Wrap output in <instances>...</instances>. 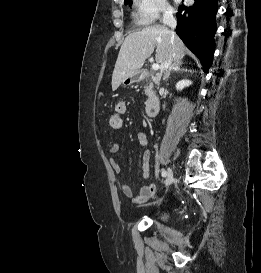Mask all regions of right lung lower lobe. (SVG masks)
Segmentation results:
<instances>
[{"instance_id":"right-lung-lower-lobe-1","label":"right lung lower lobe","mask_w":261,"mask_h":273,"mask_svg":"<svg viewBox=\"0 0 261 273\" xmlns=\"http://www.w3.org/2000/svg\"><path fill=\"white\" fill-rule=\"evenodd\" d=\"M216 12L217 0H195L190 7L180 6L176 14V33L199 58L205 72L213 60Z\"/></svg>"}]
</instances>
